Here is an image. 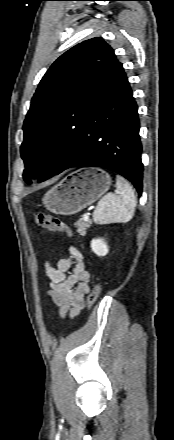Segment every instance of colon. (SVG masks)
Returning <instances> with one entry per match:
<instances>
[{
  "label": "colon",
  "instance_id": "1",
  "mask_svg": "<svg viewBox=\"0 0 174 440\" xmlns=\"http://www.w3.org/2000/svg\"><path fill=\"white\" fill-rule=\"evenodd\" d=\"M36 223L49 231L54 232H62L69 236L73 234L72 229L64 224L58 217L53 215H46L43 213L36 212L34 214ZM102 286L100 283H96L92 290L90 291L88 297H87V304L89 308H92L95 304L96 300L98 299L100 292H101Z\"/></svg>",
  "mask_w": 174,
  "mask_h": 440
}]
</instances>
